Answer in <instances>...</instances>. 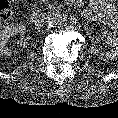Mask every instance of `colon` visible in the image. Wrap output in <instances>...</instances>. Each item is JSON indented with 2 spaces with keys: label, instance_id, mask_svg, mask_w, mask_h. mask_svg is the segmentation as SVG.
<instances>
[{
  "label": "colon",
  "instance_id": "5ec220e1",
  "mask_svg": "<svg viewBox=\"0 0 118 118\" xmlns=\"http://www.w3.org/2000/svg\"><path fill=\"white\" fill-rule=\"evenodd\" d=\"M29 2H34L35 0H28ZM12 16V11L10 4L7 0H0V25L6 24L10 21Z\"/></svg>",
  "mask_w": 118,
  "mask_h": 118
}]
</instances>
